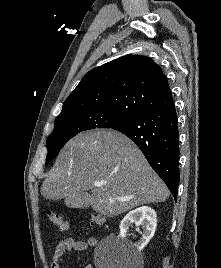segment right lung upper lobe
Masks as SVG:
<instances>
[{"instance_id": "obj_1", "label": "right lung upper lobe", "mask_w": 221, "mask_h": 268, "mask_svg": "<svg viewBox=\"0 0 221 268\" xmlns=\"http://www.w3.org/2000/svg\"><path fill=\"white\" fill-rule=\"evenodd\" d=\"M172 103L161 68L146 56L127 55L89 71L60 114L106 109L133 119Z\"/></svg>"}]
</instances>
